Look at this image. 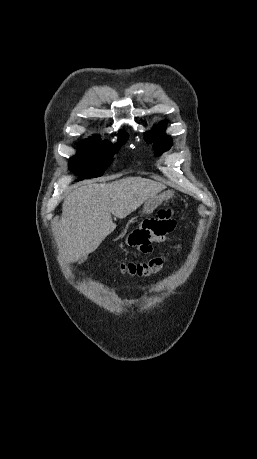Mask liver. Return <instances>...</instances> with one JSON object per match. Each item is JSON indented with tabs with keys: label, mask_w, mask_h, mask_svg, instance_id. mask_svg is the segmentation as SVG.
<instances>
[{
	"label": "liver",
	"mask_w": 257,
	"mask_h": 459,
	"mask_svg": "<svg viewBox=\"0 0 257 459\" xmlns=\"http://www.w3.org/2000/svg\"><path fill=\"white\" fill-rule=\"evenodd\" d=\"M164 189L153 180L128 177L74 190L62 205L57 234L60 251L68 262L94 252L116 228L111 214L123 219Z\"/></svg>",
	"instance_id": "liver-1"
}]
</instances>
